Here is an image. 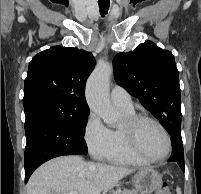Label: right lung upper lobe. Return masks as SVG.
I'll list each match as a JSON object with an SVG mask.
<instances>
[{"label":"right lung upper lobe","mask_w":201,"mask_h":194,"mask_svg":"<svg viewBox=\"0 0 201 194\" xmlns=\"http://www.w3.org/2000/svg\"><path fill=\"white\" fill-rule=\"evenodd\" d=\"M95 60L90 52L54 46L38 53L29 63L23 104L41 97H56L89 110L85 83Z\"/></svg>","instance_id":"obj_1"}]
</instances>
